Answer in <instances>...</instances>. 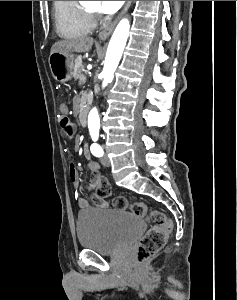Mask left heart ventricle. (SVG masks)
Wrapping results in <instances>:
<instances>
[{
  "instance_id": "obj_1",
  "label": "left heart ventricle",
  "mask_w": 237,
  "mask_h": 300,
  "mask_svg": "<svg viewBox=\"0 0 237 300\" xmlns=\"http://www.w3.org/2000/svg\"><path fill=\"white\" fill-rule=\"evenodd\" d=\"M86 7L92 10H99L100 9V1H86Z\"/></svg>"
}]
</instances>
